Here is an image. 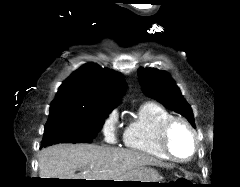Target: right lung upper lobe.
Listing matches in <instances>:
<instances>
[{
  "instance_id": "cb5924a9",
  "label": "right lung upper lobe",
  "mask_w": 240,
  "mask_h": 187,
  "mask_svg": "<svg viewBox=\"0 0 240 187\" xmlns=\"http://www.w3.org/2000/svg\"><path fill=\"white\" fill-rule=\"evenodd\" d=\"M125 87L121 73L89 63L62 83L50 108L69 106L88 110H112L118 105Z\"/></svg>"
}]
</instances>
